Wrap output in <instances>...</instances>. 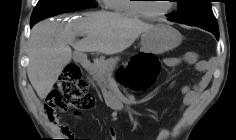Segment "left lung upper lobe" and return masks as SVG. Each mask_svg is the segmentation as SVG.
<instances>
[{
  "instance_id": "left-lung-upper-lobe-1",
  "label": "left lung upper lobe",
  "mask_w": 236,
  "mask_h": 140,
  "mask_svg": "<svg viewBox=\"0 0 236 140\" xmlns=\"http://www.w3.org/2000/svg\"><path fill=\"white\" fill-rule=\"evenodd\" d=\"M176 2L178 3V14H168L170 21L200 27L211 32L216 38L219 36L211 0H176Z\"/></svg>"
}]
</instances>
